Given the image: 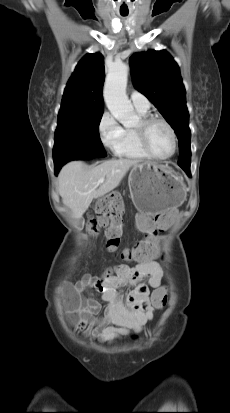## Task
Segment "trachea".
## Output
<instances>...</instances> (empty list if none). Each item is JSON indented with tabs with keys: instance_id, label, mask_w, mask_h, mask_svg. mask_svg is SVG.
I'll list each match as a JSON object with an SVG mask.
<instances>
[{
	"instance_id": "3493384b",
	"label": "trachea",
	"mask_w": 230,
	"mask_h": 413,
	"mask_svg": "<svg viewBox=\"0 0 230 413\" xmlns=\"http://www.w3.org/2000/svg\"><path fill=\"white\" fill-rule=\"evenodd\" d=\"M122 16H127V14H121Z\"/></svg>"
}]
</instances>
